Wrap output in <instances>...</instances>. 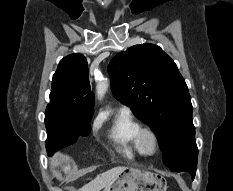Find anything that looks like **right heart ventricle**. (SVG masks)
Masks as SVG:
<instances>
[{
    "label": "right heart ventricle",
    "mask_w": 233,
    "mask_h": 191,
    "mask_svg": "<svg viewBox=\"0 0 233 191\" xmlns=\"http://www.w3.org/2000/svg\"><path fill=\"white\" fill-rule=\"evenodd\" d=\"M141 124L128 111H120L108 130V138L117 151L126 158L133 159L146 155L139 143Z\"/></svg>",
    "instance_id": "1"
}]
</instances>
